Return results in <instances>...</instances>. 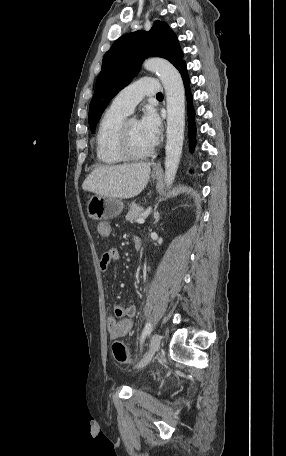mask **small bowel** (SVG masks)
Segmentation results:
<instances>
[{
	"instance_id": "1",
	"label": "small bowel",
	"mask_w": 286,
	"mask_h": 456,
	"mask_svg": "<svg viewBox=\"0 0 286 456\" xmlns=\"http://www.w3.org/2000/svg\"><path fill=\"white\" fill-rule=\"evenodd\" d=\"M99 235L108 237L111 234V225L106 222H100L97 226ZM120 259V253L117 248L106 250L100 260L99 267L103 274H107L111 263ZM136 314V306L133 304L122 306L117 305L114 308L113 315L107 318V330L111 338L124 337L130 333L132 329V318Z\"/></svg>"
}]
</instances>
